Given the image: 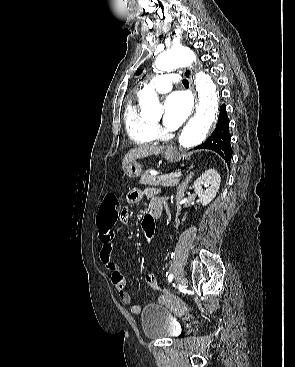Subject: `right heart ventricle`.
Listing matches in <instances>:
<instances>
[{
	"label": "right heart ventricle",
	"mask_w": 295,
	"mask_h": 367,
	"mask_svg": "<svg viewBox=\"0 0 295 367\" xmlns=\"http://www.w3.org/2000/svg\"><path fill=\"white\" fill-rule=\"evenodd\" d=\"M124 124L129 138L136 144L148 145L158 138L154 125L141 115L134 102L125 108Z\"/></svg>",
	"instance_id": "e07e8e85"
}]
</instances>
